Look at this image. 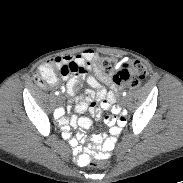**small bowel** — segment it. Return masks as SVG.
I'll return each mask as SVG.
<instances>
[{"label": "small bowel", "instance_id": "small-bowel-1", "mask_svg": "<svg viewBox=\"0 0 183 183\" xmlns=\"http://www.w3.org/2000/svg\"><path fill=\"white\" fill-rule=\"evenodd\" d=\"M97 54L91 50L87 49L77 54L75 56H64L55 57L50 59L45 63L40 69L44 70L46 68H54L60 70L64 65L74 64L77 67V72L69 75H62L64 79L67 80L64 90L68 96H74L76 93L80 92L82 89L83 79L86 80L89 88L75 99V113L80 114L87 110L91 116L96 120L101 119V113L103 110H110L114 114L118 113L117 124H115L116 119L113 117L106 118L105 122L110 125L108 128V133L111 136H116L119 133L120 127H125L128 124L129 111L126 108H119L115 106L117 101L118 88L112 80L105 76L96 66ZM94 71L96 76L91 72ZM103 82L110 84L112 86L111 90H107L101 83ZM56 79L51 84H54ZM70 109V107H69ZM60 110L58 118L62 114ZM59 123L66 127L68 124L73 128L77 126L82 129L88 130L92 126V122L87 117L78 118L76 114H71L69 118L60 117ZM64 138L69 140L70 145L76 153H81L79 160L87 161L89 156L93 155L96 161H108L111 158V154L114 153L115 147L117 145L116 138L103 136L99 132H94L91 135V143L94 146H99L101 144L100 150H96L92 145H87L84 148V152L78 147V144L83 141V136L78 135L76 138H72L68 131H64Z\"/></svg>", "mask_w": 183, "mask_h": 183}]
</instances>
